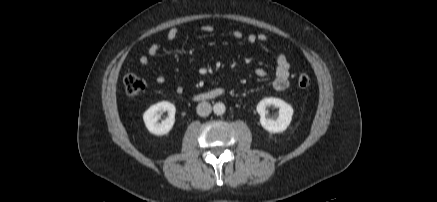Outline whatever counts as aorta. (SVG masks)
Listing matches in <instances>:
<instances>
[{
  "instance_id": "aorta-1",
  "label": "aorta",
  "mask_w": 437,
  "mask_h": 202,
  "mask_svg": "<svg viewBox=\"0 0 437 202\" xmlns=\"http://www.w3.org/2000/svg\"><path fill=\"white\" fill-rule=\"evenodd\" d=\"M213 111L216 115H222L226 111V107L222 102H218L213 106Z\"/></svg>"
}]
</instances>
